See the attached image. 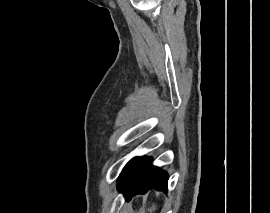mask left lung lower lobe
<instances>
[{
  "mask_svg": "<svg viewBox=\"0 0 270 213\" xmlns=\"http://www.w3.org/2000/svg\"><path fill=\"white\" fill-rule=\"evenodd\" d=\"M150 162V159L137 157L122 170L118 189L124 193L126 200L136 194H145L149 189L167 190L168 174Z\"/></svg>",
  "mask_w": 270,
  "mask_h": 213,
  "instance_id": "left-lung-lower-lobe-1",
  "label": "left lung lower lobe"
}]
</instances>
